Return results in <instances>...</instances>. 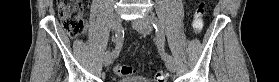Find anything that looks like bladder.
<instances>
[{
  "label": "bladder",
  "mask_w": 279,
  "mask_h": 82,
  "mask_svg": "<svg viewBox=\"0 0 279 82\" xmlns=\"http://www.w3.org/2000/svg\"><path fill=\"white\" fill-rule=\"evenodd\" d=\"M117 82H152V81L142 76H133V77L123 78Z\"/></svg>",
  "instance_id": "bladder-1"
}]
</instances>
